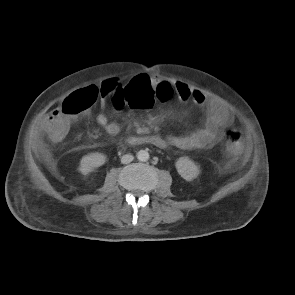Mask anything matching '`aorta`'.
<instances>
[{"mask_svg":"<svg viewBox=\"0 0 295 295\" xmlns=\"http://www.w3.org/2000/svg\"><path fill=\"white\" fill-rule=\"evenodd\" d=\"M137 159L139 161H142V162L147 161L149 159V153H148V151H146V150H140L137 153Z\"/></svg>","mask_w":295,"mask_h":295,"instance_id":"obj_1","label":"aorta"}]
</instances>
